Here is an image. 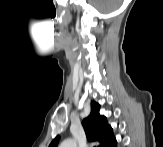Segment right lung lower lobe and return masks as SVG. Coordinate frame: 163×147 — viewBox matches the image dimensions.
<instances>
[{
    "label": "right lung lower lobe",
    "instance_id": "98d812e1",
    "mask_svg": "<svg viewBox=\"0 0 163 147\" xmlns=\"http://www.w3.org/2000/svg\"><path fill=\"white\" fill-rule=\"evenodd\" d=\"M107 147H117L116 139L114 138V140Z\"/></svg>",
    "mask_w": 163,
    "mask_h": 147
}]
</instances>
